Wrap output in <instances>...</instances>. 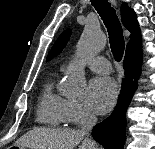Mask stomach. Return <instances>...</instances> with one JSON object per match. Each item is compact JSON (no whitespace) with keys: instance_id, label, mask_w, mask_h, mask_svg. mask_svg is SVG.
Listing matches in <instances>:
<instances>
[{"instance_id":"stomach-1","label":"stomach","mask_w":155,"mask_h":149,"mask_svg":"<svg viewBox=\"0 0 155 149\" xmlns=\"http://www.w3.org/2000/svg\"><path fill=\"white\" fill-rule=\"evenodd\" d=\"M17 148H19V149H25V148H22V147H17Z\"/></svg>"}]
</instances>
